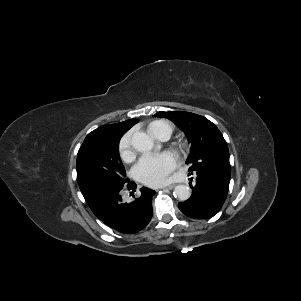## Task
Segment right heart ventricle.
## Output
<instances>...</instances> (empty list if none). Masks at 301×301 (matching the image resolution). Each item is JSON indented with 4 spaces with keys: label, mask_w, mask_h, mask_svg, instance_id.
<instances>
[{
    "label": "right heart ventricle",
    "mask_w": 301,
    "mask_h": 301,
    "mask_svg": "<svg viewBox=\"0 0 301 301\" xmlns=\"http://www.w3.org/2000/svg\"><path fill=\"white\" fill-rule=\"evenodd\" d=\"M166 127L169 128L170 132H172V125L169 122L163 121V120H157V121H153L149 124L148 131L153 136L158 138L160 131Z\"/></svg>",
    "instance_id": "obj_1"
}]
</instances>
